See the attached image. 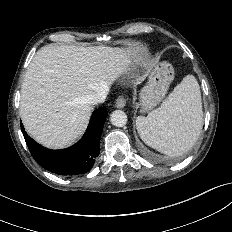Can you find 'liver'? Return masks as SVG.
I'll list each match as a JSON object with an SVG mask.
<instances>
[{
	"label": "liver",
	"mask_w": 232,
	"mask_h": 232,
	"mask_svg": "<svg viewBox=\"0 0 232 232\" xmlns=\"http://www.w3.org/2000/svg\"><path fill=\"white\" fill-rule=\"evenodd\" d=\"M134 64L145 61L129 48L42 47L28 66L21 88L20 114L26 131L48 148L72 144L90 118L87 97L109 87Z\"/></svg>",
	"instance_id": "1"
}]
</instances>
